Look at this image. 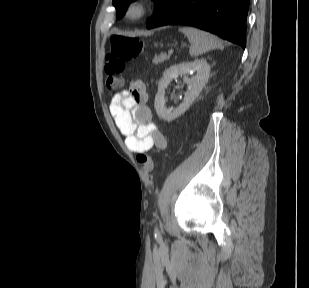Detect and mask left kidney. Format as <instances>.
<instances>
[{
  "label": "left kidney",
  "mask_w": 309,
  "mask_h": 288,
  "mask_svg": "<svg viewBox=\"0 0 309 288\" xmlns=\"http://www.w3.org/2000/svg\"><path fill=\"white\" fill-rule=\"evenodd\" d=\"M196 72L195 77L189 78L188 74ZM210 65L205 59H196L192 62H184L169 67L163 74L158 84V92L155 96V109L158 116L166 121H172L183 114L199 96L203 87L209 79ZM178 76L184 77V82L188 84L189 90L185 93L183 103L177 108L167 109L165 107V89L170 82Z\"/></svg>",
  "instance_id": "5707ae66"
}]
</instances>
